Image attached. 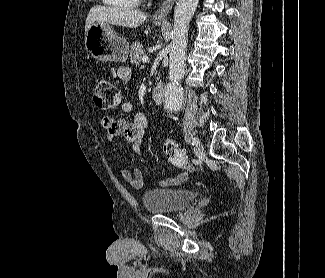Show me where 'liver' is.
<instances>
[{
	"mask_svg": "<svg viewBox=\"0 0 325 278\" xmlns=\"http://www.w3.org/2000/svg\"><path fill=\"white\" fill-rule=\"evenodd\" d=\"M146 18V13L136 9L96 5L90 9L86 18L85 35L94 22L137 28Z\"/></svg>",
	"mask_w": 325,
	"mask_h": 278,
	"instance_id": "obj_1",
	"label": "liver"
}]
</instances>
